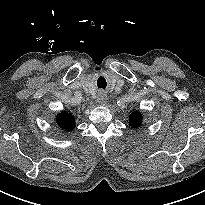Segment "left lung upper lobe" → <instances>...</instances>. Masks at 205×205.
<instances>
[{
	"instance_id": "obj_1",
	"label": "left lung upper lobe",
	"mask_w": 205,
	"mask_h": 205,
	"mask_svg": "<svg viewBox=\"0 0 205 205\" xmlns=\"http://www.w3.org/2000/svg\"><path fill=\"white\" fill-rule=\"evenodd\" d=\"M142 122V116L140 115L139 112H134L131 116H130V120H129V124L132 127H139L141 125Z\"/></svg>"
}]
</instances>
